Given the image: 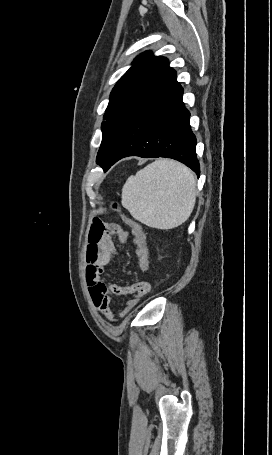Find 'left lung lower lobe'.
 Wrapping results in <instances>:
<instances>
[{
    "label": "left lung lower lobe",
    "instance_id": "0a47b994",
    "mask_svg": "<svg viewBox=\"0 0 272 455\" xmlns=\"http://www.w3.org/2000/svg\"><path fill=\"white\" fill-rule=\"evenodd\" d=\"M183 88L175 78L150 100L125 126L102 160L106 172L127 156L165 157L190 167L199 177L196 137L189 124L190 113L182 102Z\"/></svg>",
    "mask_w": 272,
    "mask_h": 455
}]
</instances>
